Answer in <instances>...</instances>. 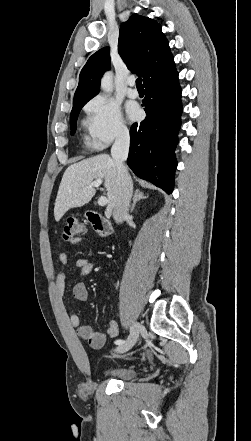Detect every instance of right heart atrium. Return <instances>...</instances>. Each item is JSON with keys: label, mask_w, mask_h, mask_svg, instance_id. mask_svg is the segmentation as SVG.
I'll return each mask as SVG.
<instances>
[{"label": "right heart atrium", "mask_w": 251, "mask_h": 441, "mask_svg": "<svg viewBox=\"0 0 251 441\" xmlns=\"http://www.w3.org/2000/svg\"><path fill=\"white\" fill-rule=\"evenodd\" d=\"M85 125L89 134V144L94 149H102L115 140L128 136V128L119 105L112 99L97 95L85 105Z\"/></svg>", "instance_id": "obj_1"}]
</instances>
